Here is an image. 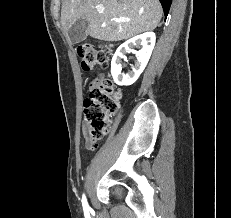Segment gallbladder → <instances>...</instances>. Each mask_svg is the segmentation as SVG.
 I'll use <instances>...</instances> for the list:
<instances>
[{
    "label": "gallbladder",
    "mask_w": 231,
    "mask_h": 218,
    "mask_svg": "<svg viewBox=\"0 0 231 218\" xmlns=\"http://www.w3.org/2000/svg\"><path fill=\"white\" fill-rule=\"evenodd\" d=\"M88 29V21L85 19H80L76 21L69 29H68V37L72 44L79 43L83 41L87 34L86 31Z\"/></svg>",
    "instance_id": "bac80fb5"
}]
</instances>
